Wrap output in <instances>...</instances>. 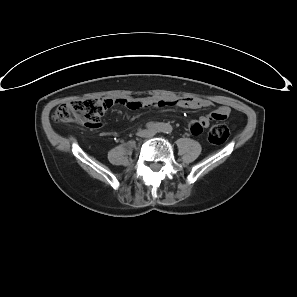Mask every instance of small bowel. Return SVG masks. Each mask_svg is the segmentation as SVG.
I'll return each mask as SVG.
<instances>
[{
    "mask_svg": "<svg viewBox=\"0 0 297 297\" xmlns=\"http://www.w3.org/2000/svg\"><path fill=\"white\" fill-rule=\"evenodd\" d=\"M116 104L126 106L129 109H140L147 107H179L183 109H200L210 107L212 103L206 99L200 98H176V99H153V98H120L114 101ZM230 114V108L227 106H218L216 110L210 114L201 116L198 120H192L189 123V128L193 135H199L202 130L210 125L212 121H223ZM84 128L90 131H101L103 124L96 121H86Z\"/></svg>",
    "mask_w": 297,
    "mask_h": 297,
    "instance_id": "small-bowel-1",
    "label": "small bowel"
}]
</instances>
